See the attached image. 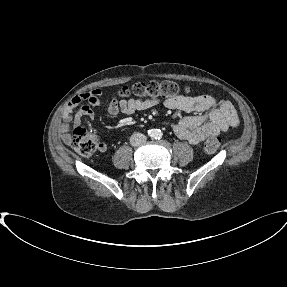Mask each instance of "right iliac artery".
<instances>
[{
	"label": "right iliac artery",
	"instance_id": "obj_1",
	"mask_svg": "<svg viewBox=\"0 0 287 287\" xmlns=\"http://www.w3.org/2000/svg\"><path fill=\"white\" fill-rule=\"evenodd\" d=\"M148 135L150 136V137H154L155 135H156V131L155 130H149L148 131Z\"/></svg>",
	"mask_w": 287,
	"mask_h": 287
}]
</instances>
